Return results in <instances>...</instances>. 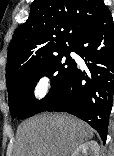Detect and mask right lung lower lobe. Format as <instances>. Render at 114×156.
<instances>
[{
    "instance_id": "98d812e1",
    "label": "right lung lower lobe",
    "mask_w": 114,
    "mask_h": 156,
    "mask_svg": "<svg viewBox=\"0 0 114 156\" xmlns=\"http://www.w3.org/2000/svg\"><path fill=\"white\" fill-rule=\"evenodd\" d=\"M73 51L88 69L76 66L61 94L44 111L79 117L105 142L114 96V24L108 9L77 39Z\"/></svg>"
}]
</instances>
